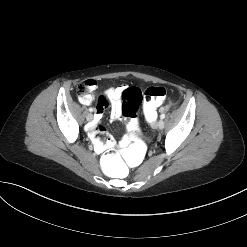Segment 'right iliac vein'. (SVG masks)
I'll list each match as a JSON object with an SVG mask.
<instances>
[{"mask_svg": "<svg viewBox=\"0 0 247 247\" xmlns=\"http://www.w3.org/2000/svg\"><path fill=\"white\" fill-rule=\"evenodd\" d=\"M86 119H87V121H92L93 115H92L91 113H88V114L86 115Z\"/></svg>", "mask_w": 247, "mask_h": 247, "instance_id": "obj_1", "label": "right iliac vein"}]
</instances>
